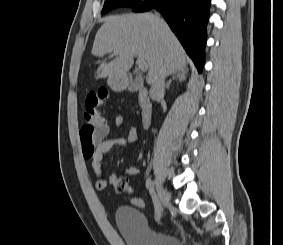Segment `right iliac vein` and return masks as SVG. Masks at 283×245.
Returning <instances> with one entry per match:
<instances>
[{"label": "right iliac vein", "instance_id": "63e3f726", "mask_svg": "<svg viewBox=\"0 0 283 245\" xmlns=\"http://www.w3.org/2000/svg\"><path fill=\"white\" fill-rule=\"evenodd\" d=\"M155 184H156L158 196L162 204V209L167 208L170 205L169 195L166 189L164 188V186L161 184V182L158 179H156Z\"/></svg>", "mask_w": 283, "mask_h": 245}]
</instances>
